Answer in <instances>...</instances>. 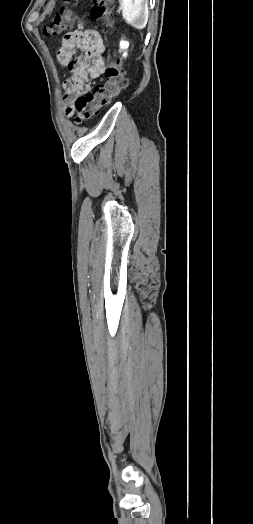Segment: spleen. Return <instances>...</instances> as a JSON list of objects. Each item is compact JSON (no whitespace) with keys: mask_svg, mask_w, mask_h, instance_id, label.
Listing matches in <instances>:
<instances>
[{"mask_svg":"<svg viewBox=\"0 0 253 524\" xmlns=\"http://www.w3.org/2000/svg\"><path fill=\"white\" fill-rule=\"evenodd\" d=\"M145 0H119L122 16L127 24L136 29H143L148 22V9Z\"/></svg>","mask_w":253,"mask_h":524,"instance_id":"obj_1","label":"spleen"}]
</instances>
